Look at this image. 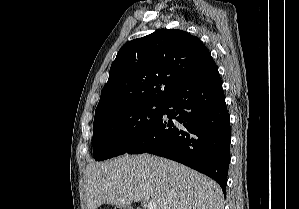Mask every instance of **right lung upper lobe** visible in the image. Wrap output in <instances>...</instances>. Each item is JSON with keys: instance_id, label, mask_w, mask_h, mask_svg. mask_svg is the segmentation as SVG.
Instances as JSON below:
<instances>
[{"instance_id": "obj_1", "label": "right lung upper lobe", "mask_w": 299, "mask_h": 209, "mask_svg": "<svg viewBox=\"0 0 299 209\" xmlns=\"http://www.w3.org/2000/svg\"><path fill=\"white\" fill-rule=\"evenodd\" d=\"M218 69L199 38L162 29L132 40L119 50L102 89L95 116L123 105L165 102L191 75Z\"/></svg>"}]
</instances>
